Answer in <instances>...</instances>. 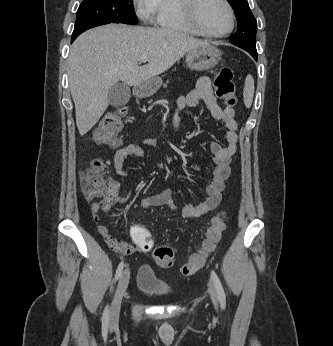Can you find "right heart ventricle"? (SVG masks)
Masks as SVG:
<instances>
[{
  "label": "right heart ventricle",
  "instance_id": "obj_1",
  "mask_svg": "<svg viewBox=\"0 0 333 346\" xmlns=\"http://www.w3.org/2000/svg\"><path fill=\"white\" fill-rule=\"evenodd\" d=\"M155 23L162 29L186 34H197L187 22L180 0H161Z\"/></svg>",
  "mask_w": 333,
  "mask_h": 346
}]
</instances>
